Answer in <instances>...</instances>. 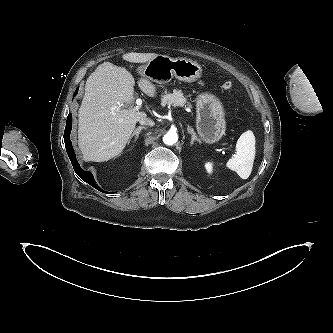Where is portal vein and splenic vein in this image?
Here are the masks:
<instances>
[{"label":"portal vein and splenic vein","mask_w":333,"mask_h":333,"mask_svg":"<svg viewBox=\"0 0 333 333\" xmlns=\"http://www.w3.org/2000/svg\"><path fill=\"white\" fill-rule=\"evenodd\" d=\"M142 105V99L137 98L136 99V106L134 107L135 110H139Z\"/></svg>","instance_id":"1"}]
</instances>
